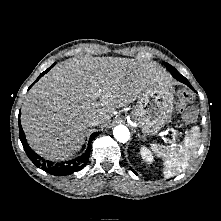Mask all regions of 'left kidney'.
<instances>
[{"label": "left kidney", "instance_id": "obj_1", "mask_svg": "<svg viewBox=\"0 0 221 221\" xmlns=\"http://www.w3.org/2000/svg\"><path fill=\"white\" fill-rule=\"evenodd\" d=\"M140 155L149 164H151L154 160L151 151L145 146L140 148Z\"/></svg>", "mask_w": 221, "mask_h": 221}]
</instances>
